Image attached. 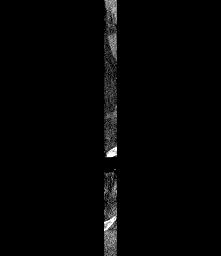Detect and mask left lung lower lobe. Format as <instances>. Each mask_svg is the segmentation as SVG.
<instances>
[{"mask_svg":"<svg viewBox=\"0 0 221 256\" xmlns=\"http://www.w3.org/2000/svg\"><path fill=\"white\" fill-rule=\"evenodd\" d=\"M119 147V146H118ZM81 163L88 169L113 171L120 174H141V165L136 153L118 149L116 160L104 157V143L95 141L87 145L79 155Z\"/></svg>","mask_w":221,"mask_h":256,"instance_id":"0a47b994","label":"left lung lower lobe"}]
</instances>
